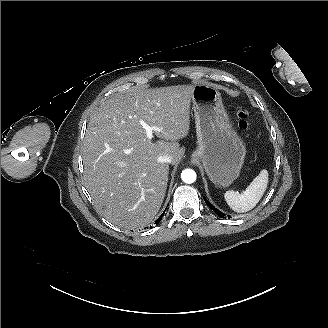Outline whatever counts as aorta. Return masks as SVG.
Here are the masks:
<instances>
[{
  "label": "aorta",
  "mask_w": 328,
  "mask_h": 328,
  "mask_svg": "<svg viewBox=\"0 0 328 328\" xmlns=\"http://www.w3.org/2000/svg\"><path fill=\"white\" fill-rule=\"evenodd\" d=\"M196 172L192 169H185L181 173V179L187 184L194 183L196 181Z\"/></svg>",
  "instance_id": "1"
}]
</instances>
